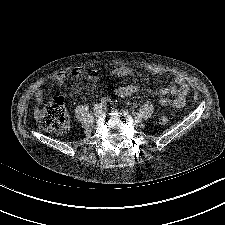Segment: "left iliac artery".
<instances>
[{
    "instance_id": "obj_1",
    "label": "left iliac artery",
    "mask_w": 225,
    "mask_h": 225,
    "mask_svg": "<svg viewBox=\"0 0 225 225\" xmlns=\"http://www.w3.org/2000/svg\"><path fill=\"white\" fill-rule=\"evenodd\" d=\"M118 105V101L117 100H113L112 102H111V106L112 107H116Z\"/></svg>"
}]
</instances>
